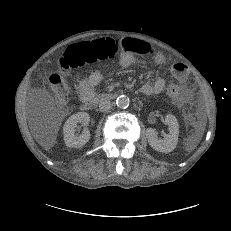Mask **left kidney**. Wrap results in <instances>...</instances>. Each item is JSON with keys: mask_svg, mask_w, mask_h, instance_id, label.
<instances>
[{"mask_svg": "<svg viewBox=\"0 0 231 231\" xmlns=\"http://www.w3.org/2000/svg\"><path fill=\"white\" fill-rule=\"evenodd\" d=\"M165 123L168 124L169 133L165 134L163 139L157 137L154 129L148 128L146 130L149 145L162 153L173 151L176 148L179 136V124L175 116L168 114L165 117Z\"/></svg>", "mask_w": 231, "mask_h": 231, "instance_id": "1", "label": "left kidney"}]
</instances>
